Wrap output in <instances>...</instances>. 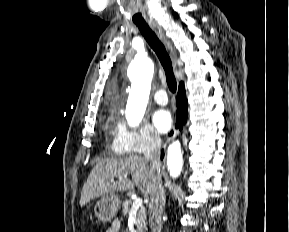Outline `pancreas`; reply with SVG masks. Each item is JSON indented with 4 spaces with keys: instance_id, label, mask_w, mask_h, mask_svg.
<instances>
[{
    "instance_id": "1",
    "label": "pancreas",
    "mask_w": 289,
    "mask_h": 232,
    "mask_svg": "<svg viewBox=\"0 0 289 232\" xmlns=\"http://www.w3.org/2000/svg\"><path fill=\"white\" fill-rule=\"evenodd\" d=\"M133 202L131 200H126L123 202L122 214L126 216L131 208ZM147 229L146 227V209L144 206H141L137 211V231L144 232Z\"/></svg>"
}]
</instances>
